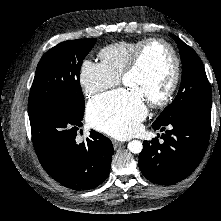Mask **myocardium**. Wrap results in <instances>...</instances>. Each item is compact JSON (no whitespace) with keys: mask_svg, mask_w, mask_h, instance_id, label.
Segmentation results:
<instances>
[{"mask_svg":"<svg viewBox=\"0 0 221 221\" xmlns=\"http://www.w3.org/2000/svg\"><path fill=\"white\" fill-rule=\"evenodd\" d=\"M154 44H159L166 48L172 63L170 79L165 91L158 98L147 102L149 107L156 108L166 105L171 100L179 79L180 61L175 49L168 41L162 38H147L143 40L133 52L128 65L122 72L121 82L124 83L125 79L138 69L144 52Z\"/></svg>","mask_w":221,"mask_h":221,"instance_id":"obj_1","label":"myocardium"}]
</instances>
